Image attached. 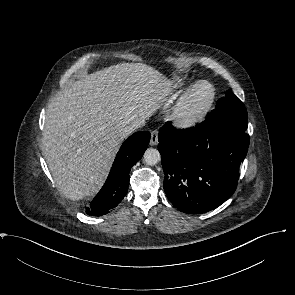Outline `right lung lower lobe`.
I'll return each instance as SVG.
<instances>
[{"instance_id": "right-lung-lower-lobe-1", "label": "right lung lower lobe", "mask_w": 295, "mask_h": 295, "mask_svg": "<svg viewBox=\"0 0 295 295\" xmlns=\"http://www.w3.org/2000/svg\"><path fill=\"white\" fill-rule=\"evenodd\" d=\"M149 141L150 132L142 131L122 144L104 186L86 208L88 215H105L121 202L128 191L130 169L142 158Z\"/></svg>"}]
</instances>
